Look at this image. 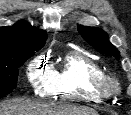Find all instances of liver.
Masks as SVG:
<instances>
[{
  "instance_id": "1",
  "label": "liver",
  "mask_w": 131,
  "mask_h": 115,
  "mask_svg": "<svg viewBox=\"0 0 131 115\" xmlns=\"http://www.w3.org/2000/svg\"><path fill=\"white\" fill-rule=\"evenodd\" d=\"M0 115H98L92 109L63 104H41L25 99H13L0 103Z\"/></svg>"
}]
</instances>
